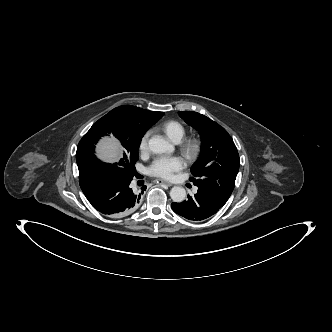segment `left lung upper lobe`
<instances>
[{
	"mask_svg": "<svg viewBox=\"0 0 332 332\" xmlns=\"http://www.w3.org/2000/svg\"><path fill=\"white\" fill-rule=\"evenodd\" d=\"M201 135L202 150L192 168L194 185L227 201L239 170V154L228 132L210 118L192 111L178 112Z\"/></svg>",
	"mask_w": 332,
	"mask_h": 332,
	"instance_id": "obj_1",
	"label": "left lung upper lobe"
}]
</instances>
